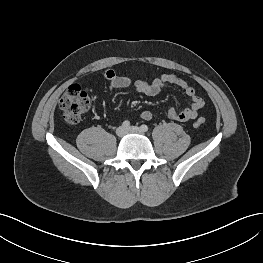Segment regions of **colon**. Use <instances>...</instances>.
Masks as SVG:
<instances>
[{
	"label": "colon",
	"mask_w": 263,
	"mask_h": 263,
	"mask_svg": "<svg viewBox=\"0 0 263 263\" xmlns=\"http://www.w3.org/2000/svg\"><path fill=\"white\" fill-rule=\"evenodd\" d=\"M90 107V96L88 92L79 85L69 87L59 101L64 120L69 124H77L81 121L83 114ZM203 119L195 122V126H201Z\"/></svg>",
	"instance_id": "1"
}]
</instances>
